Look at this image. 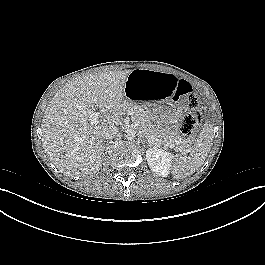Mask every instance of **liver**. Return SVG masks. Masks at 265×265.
Returning <instances> with one entry per match:
<instances>
[{
    "instance_id": "obj_1",
    "label": "liver",
    "mask_w": 265,
    "mask_h": 265,
    "mask_svg": "<svg viewBox=\"0 0 265 265\" xmlns=\"http://www.w3.org/2000/svg\"><path fill=\"white\" fill-rule=\"evenodd\" d=\"M130 73L109 71L75 78L50 101L42 119V146L64 175H91L102 167L101 130L117 123L118 116L106 115L96 125L89 118L96 107L103 114L119 109Z\"/></svg>"
}]
</instances>
